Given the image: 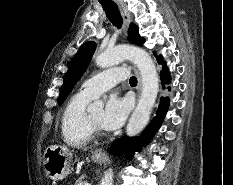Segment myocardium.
I'll return each mask as SVG.
<instances>
[{
  "mask_svg": "<svg viewBox=\"0 0 233 185\" xmlns=\"http://www.w3.org/2000/svg\"><path fill=\"white\" fill-rule=\"evenodd\" d=\"M87 122L92 134L101 135L103 133L102 128L96 122L93 121L90 114H87Z\"/></svg>",
  "mask_w": 233,
  "mask_h": 185,
  "instance_id": "1",
  "label": "myocardium"
}]
</instances>
